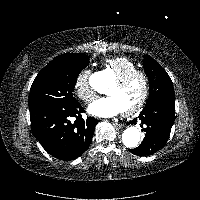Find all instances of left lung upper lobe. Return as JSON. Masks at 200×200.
<instances>
[{
  "label": "left lung upper lobe",
  "mask_w": 200,
  "mask_h": 200,
  "mask_svg": "<svg viewBox=\"0 0 200 200\" xmlns=\"http://www.w3.org/2000/svg\"><path fill=\"white\" fill-rule=\"evenodd\" d=\"M144 70L149 78L150 96L147 104L158 99L175 100L172 81L167 72L150 56L144 58Z\"/></svg>",
  "instance_id": "1"
}]
</instances>
